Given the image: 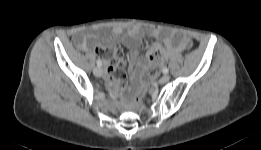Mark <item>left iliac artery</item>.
Listing matches in <instances>:
<instances>
[{
    "instance_id": "1",
    "label": "left iliac artery",
    "mask_w": 261,
    "mask_h": 150,
    "mask_svg": "<svg viewBox=\"0 0 261 150\" xmlns=\"http://www.w3.org/2000/svg\"><path fill=\"white\" fill-rule=\"evenodd\" d=\"M162 72L164 73V74H167L168 73V68H163V70H162Z\"/></svg>"
}]
</instances>
